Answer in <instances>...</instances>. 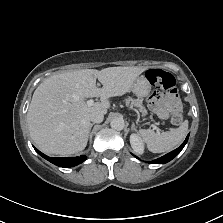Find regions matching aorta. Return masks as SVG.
<instances>
[{
	"label": "aorta",
	"instance_id": "obj_1",
	"mask_svg": "<svg viewBox=\"0 0 223 223\" xmlns=\"http://www.w3.org/2000/svg\"><path fill=\"white\" fill-rule=\"evenodd\" d=\"M110 126L112 129H115L117 131L123 130L125 127L124 120L122 118H114L110 122Z\"/></svg>",
	"mask_w": 223,
	"mask_h": 223
}]
</instances>
